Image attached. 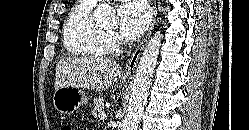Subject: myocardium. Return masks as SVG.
Returning <instances> with one entry per match:
<instances>
[{
  "label": "myocardium",
  "instance_id": "f54148a6",
  "mask_svg": "<svg viewBox=\"0 0 249 130\" xmlns=\"http://www.w3.org/2000/svg\"><path fill=\"white\" fill-rule=\"evenodd\" d=\"M104 32H105L108 36L111 35V32H110L109 30H104Z\"/></svg>",
  "mask_w": 249,
  "mask_h": 130
}]
</instances>
